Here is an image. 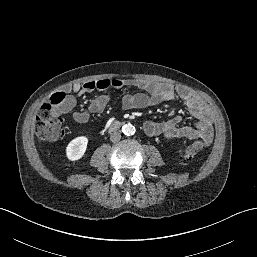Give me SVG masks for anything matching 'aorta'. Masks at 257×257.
Wrapping results in <instances>:
<instances>
[{"label": "aorta", "mask_w": 257, "mask_h": 257, "mask_svg": "<svg viewBox=\"0 0 257 257\" xmlns=\"http://www.w3.org/2000/svg\"><path fill=\"white\" fill-rule=\"evenodd\" d=\"M122 132L126 135V136H131L135 133V127L132 124H125L122 127Z\"/></svg>", "instance_id": "aorta-1"}]
</instances>
